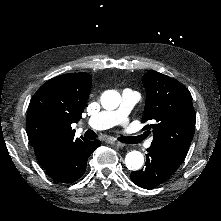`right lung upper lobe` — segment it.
Masks as SVG:
<instances>
[{
    "instance_id": "1",
    "label": "right lung upper lobe",
    "mask_w": 221,
    "mask_h": 221,
    "mask_svg": "<svg viewBox=\"0 0 221 221\" xmlns=\"http://www.w3.org/2000/svg\"><path fill=\"white\" fill-rule=\"evenodd\" d=\"M92 85L89 74L68 73L45 82L28 107L26 130L41 166L73 142L72 123L81 119Z\"/></svg>"
}]
</instances>
